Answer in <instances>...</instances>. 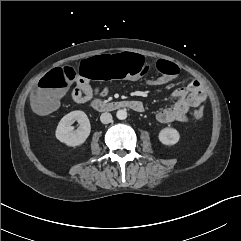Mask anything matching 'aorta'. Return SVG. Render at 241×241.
Instances as JSON below:
<instances>
[{"label":"aorta","instance_id":"aorta-1","mask_svg":"<svg viewBox=\"0 0 241 241\" xmlns=\"http://www.w3.org/2000/svg\"><path fill=\"white\" fill-rule=\"evenodd\" d=\"M116 116L119 120H124L127 118V111L125 109H120L117 111Z\"/></svg>","mask_w":241,"mask_h":241}]
</instances>
